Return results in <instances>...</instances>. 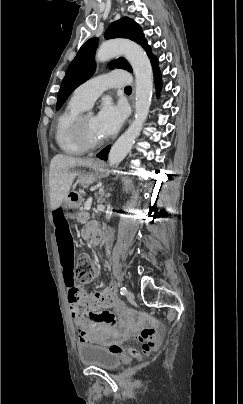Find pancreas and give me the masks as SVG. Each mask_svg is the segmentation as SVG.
I'll return each instance as SVG.
<instances>
[{"label":"pancreas","mask_w":243,"mask_h":404,"mask_svg":"<svg viewBox=\"0 0 243 404\" xmlns=\"http://www.w3.org/2000/svg\"><path fill=\"white\" fill-rule=\"evenodd\" d=\"M77 217H78L77 218V223L85 224L86 220H89L90 214H89V212L78 213Z\"/></svg>","instance_id":"obj_1"}]
</instances>
